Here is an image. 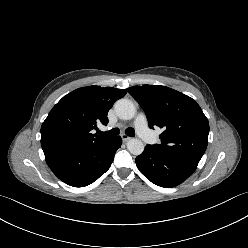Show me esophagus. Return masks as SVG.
I'll return each instance as SVG.
<instances>
[{"instance_id": "esophagus-1", "label": "esophagus", "mask_w": 248, "mask_h": 248, "mask_svg": "<svg viewBox=\"0 0 248 248\" xmlns=\"http://www.w3.org/2000/svg\"><path fill=\"white\" fill-rule=\"evenodd\" d=\"M121 137H122V140H123L124 142H127V141H129V140L132 139L130 136H128V135H126V134H122Z\"/></svg>"}]
</instances>
